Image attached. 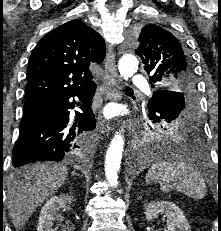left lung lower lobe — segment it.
<instances>
[{
    "mask_svg": "<svg viewBox=\"0 0 221 231\" xmlns=\"http://www.w3.org/2000/svg\"><path fill=\"white\" fill-rule=\"evenodd\" d=\"M174 98L173 92L168 90H158L154 92L150 101L155 102L157 105L171 104L172 106H176L179 103H174ZM159 117V119H156L157 122L160 121L169 123L175 119V117L169 113ZM201 134L202 128L199 121L197 119H192L183 126L179 127V129L169 131L167 134H165L164 139L165 143L173 144L174 146L182 148L185 152L198 155L197 151L202 150ZM152 152L153 153H148L147 156L144 154L142 157L149 159L152 156L155 157L156 155H159L158 149Z\"/></svg>",
    "mask_w": 221,
    "mask_h": 231,
    "instance_id": "left-lung-lower-lobe-1",
    "label": "left lung lower lobe"
}]
</instances>
